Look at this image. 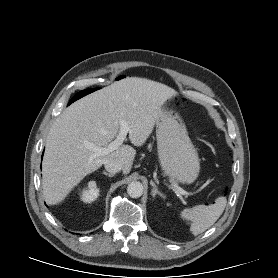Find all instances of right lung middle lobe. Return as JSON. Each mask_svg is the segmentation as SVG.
Listing matches in <instances>:
<instances>
[{
	"instance_id": "1",
	"label": "right lung middle lobe",
	"mask_w": 278,
	"mask_h": 278,
	"mask_svg": "<svg viewBox=\"0 0 278 278\" xmlns=\"http://www.w3.org/2000/svg\"><path fill=\"white\" fill-rule=\"evenodd\" d=\"M95 89H87V90H83V91H81V92H79L74 98H76V97H78V98H80V97H82V96H84V95H86V94H88V93H90V92H92V91H94ZM77 99V98H76ZM75 99V100H76Z\"/></svg>"
}]
</instances>
